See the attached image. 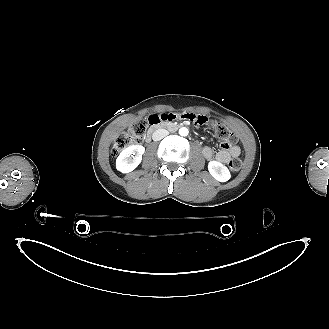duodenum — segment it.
<instances>
[{
    "instance_id": "1",
    "label": "duodenum",
    "mask_w": 329,
    "mask_h": 329,
    "mask_svg": "<svg viewBox=\"0 0 329 329\" xmlns=\"http://www.w3.org/2000/svg\"><path fill=\"white\" fill-rule=\"evenodd\" d=\"M149 123H150V127L145 135L146 142L151 141L153 133L159 128H168L171 130H176L179 127L178 124H176L170 120H167V119L161 120V118H159V115L151 116L149 118Z\"/></svg>"
}]
</instances>
